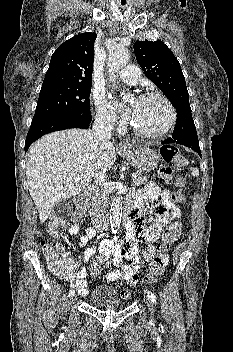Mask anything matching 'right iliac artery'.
<instances>
[{
  "instance_id": "obj_1",
  "label": "right iliac artery",
  "mask_w": 233,
  "mask_h": 352,
  "mask_svg": "<svg viewBox=\"0 0 233 352\" xmlns=\"http://www.w3.org/2000/svg\"><path fill=\"white\" fill-rule=\"evenodd\" d=\"M74 293H75L74 290H70L68 296L70 297V296L74 295Z\"/></svg>"
}]
</instances>
